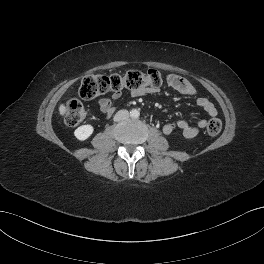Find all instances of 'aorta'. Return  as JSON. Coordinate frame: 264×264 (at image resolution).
<instances>
[{
    "instance_id": "1",
    "label": "aorta",
    "mask_w": 264,
    "mask_h": 264,
    "mask_svg": "<svg viewBox=\"0 0 264 264\" xmlns=\"http://www.w3.org/2000/svg\"><path fill=\"white\" fill-rule=\"evenodd\" d=\"M130 116H131L132 118H138V117L140 116V112H139V110H137V109H132V110L130 111Z\"/></svg>"
}]
</instances>
